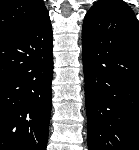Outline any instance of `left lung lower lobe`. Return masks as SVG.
<instances>
[{
	"instance_id": "left-lung-lower-lobe-1",
	"label": "left lung lower lobe",
	"mask_w": 139,
	"mask_h": 150,
	"mask_svg": "<svg viewBox=\"0 0 139 150\" xmlns=\"http://www.w3.org/2000/svg\"><path fill=\"white\" fill-rule=\"evenodd\" d=\"M89 150H139V23L122 0H100L82 28Z\"/></svg>"
}]
</instances>
